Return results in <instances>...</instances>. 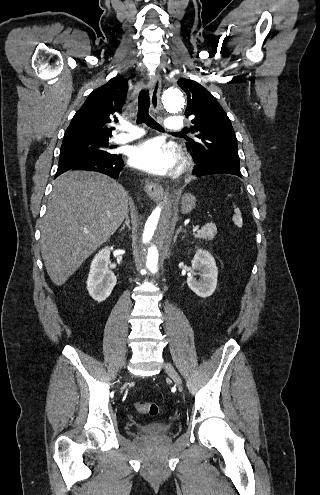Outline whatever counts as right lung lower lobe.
I'll use <instances>...</instances> for the list:
<instances>
[{
    "label": "right lung lower lobe",
    "mask_w": 320,
    "mask_h": 495,
    "mask_svg": "<svg viewBox=\"0 0 320 495\" xmlns=\"http://www.w3.org/2000/svg\"><path fill=\"white\" fill-rule=\"evenodd\" d=\"M123 167L124 163L121 155L117 154H111L109 156H61L55 178L70 170H90L118 178Z\"/></svg>",
    "instance_id": "obj_1"
}]
</instances>
